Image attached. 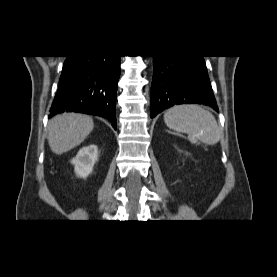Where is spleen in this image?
<instances>
[{
	"instance_id": "spleen-1",
	"label": "spleen",
	"mask_w": 277,
	"mask_h": 277,
	"mask_svg": "<svg viewBox=\"0 0 277 277\" xmlns=\"http://www.w3.org/2000/svg\"><path fill=\"white\" fill-rule=\"evenodd\" d=\"M165 124L178 132L187 133L192 142L213 145L221 137L215 117L198 105H179L164 114Z\"/></svg>"
}]
</instances>
